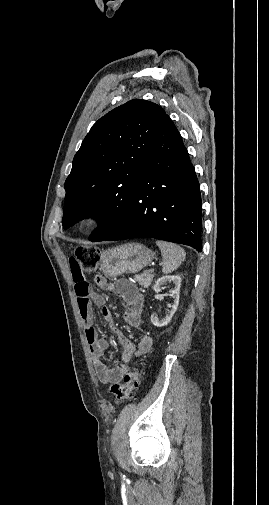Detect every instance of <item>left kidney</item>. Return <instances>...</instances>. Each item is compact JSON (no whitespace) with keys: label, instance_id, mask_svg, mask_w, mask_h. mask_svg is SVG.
Instances as JSON below:
<instances>
[{"label":"left kidney","instance_id":"1","mask_svg":"<svg viewBox=\"0 0 269 505\" xmlns=\"http://www.w3.org/2000/svg\"><path fill=\"white\" fill-rule=\"evenodd\" d=\"M166 282H173V284L175 285L174 289L172 290V295L174 297V302L171 306V310L168 312V314L162 318V319H158L156 316L154 315H151V323L156 326V327H163V326H166L172 319L174 313L176 312L177 310V307H178V304H179V293H180V286H181V277L180 276H177V275H173V276H162L160 277L153 289L155 292H160L161 291V286L166 283Z\"/></svg>","mask_w":269,"mask_h":505}]
</instances>
